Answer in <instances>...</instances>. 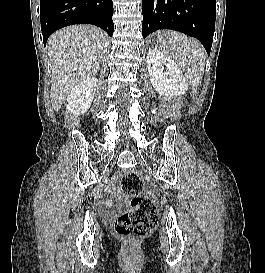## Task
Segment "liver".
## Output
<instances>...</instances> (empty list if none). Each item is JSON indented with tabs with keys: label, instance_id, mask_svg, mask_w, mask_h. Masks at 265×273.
Returning a JSON list of instances; mask_svg holds the SVG:
<instances>
[{
	"label": "liver",
	"instance_id": "6515ba94",
	"mask_svg": "<svg viewBox=\"0 0 265 273\" xmlns=\"http://www.w3.org/2000/svg\"><path fill=\"white\" fill-rule=\"evenodd\" d=\"M108 37L92 25H72L51 35L47 49L52 63L51 103L58 111L71 90L99 70Z\"/></svg>",
	"mask_w": 265,
	"mask_h": 273
}]
</instances>
